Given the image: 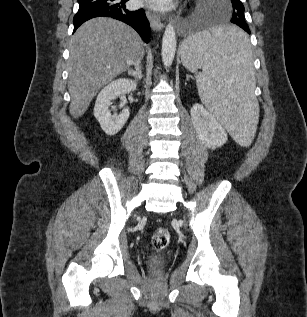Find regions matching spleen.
Masks as SVG:
<instances>
[{"mask_svg": "<svg viewBox=\"0 0 307 317\" xmlns=\"http://www.w3.org/2000/svg\"><path fill=\"white\" fill-rule=\"evenodd\" d=\"M181 60L195 73L200 99L212 115L239 144L249 142L258 102L246 29L204 26L203 33L184 41Z\"/></svg>", "mask_w": 307, "mask_h": 317, "instance_id": "spleen-1", "label": "spleen"}]
</instances>
